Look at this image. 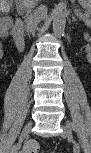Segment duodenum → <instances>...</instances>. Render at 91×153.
Returning <instances> with one entry per match:
<instances>
[{"label":"duodenum","instance_id":"obj_1","mask_svg":"<svg viewBox=\"0 0 91 153\" xmlns=\"http://www.w3.org/2000/svg\"><path fill=\"white\" fill-rule=\"evenodd\" d=\"M24 20L18 17L12 27V38L19 52H23L26 48V39L24 36Z\"/></svg>","mask_w":91,"mask_h":153}]
</instances>
